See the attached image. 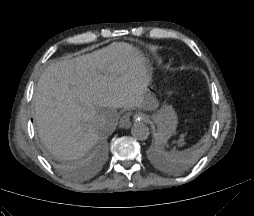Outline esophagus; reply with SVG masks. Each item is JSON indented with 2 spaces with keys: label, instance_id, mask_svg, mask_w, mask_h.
I'll list each match as a JSON object with an SVG mask.
<instances>
[{
  "label": "esophagus",
  "instance_id": "obj_1",
  "mask_svg": "<svg viewBox=\"0 0 254 216\" xmlns=\"http://www.w3.org/2000/svg\"><path fill=\"white\" fill-rule=\"evenodd\" d=\"M134 119L137 121H145V116L141 113H138L134 116ZM119 125L123 128H130L131 126V121L129 120V116L128 115H124L119 122Z\"/></svg>",
  "mask_w": 254,
  "mask_h": 216
}]
</instances>
